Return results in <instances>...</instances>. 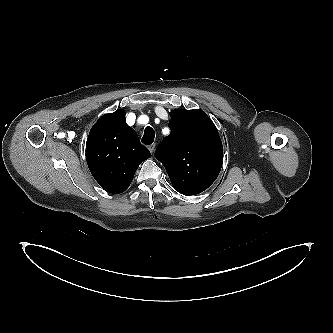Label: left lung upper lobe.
<instances>
[{
  "label": "left lung upper lobe",
  "instance_id": "obj_1",
  "mask_svg": "<svg viewBox=\"0 0 333 333\" xmlns=\"http://www.w3.org/2000/svg\"><path fill=\"white\" fill-rule=\"evenodd\" d=\"M170 116L171 133L158 146L155 157L163 163L179 193H201L216 180L222 167L223 146L218 131L200 110H173Z\"/></svg>",
  "mask_w": 333,
  "mask_h": 333
}]
</instances>
